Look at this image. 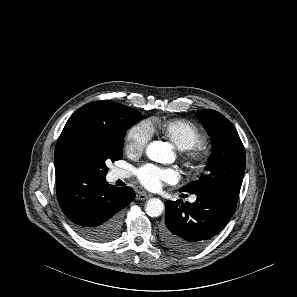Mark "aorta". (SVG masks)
<instances>
[{
    "instance_id": "obj_1",
    "label": "aorta",
    "mask_w": 297,
    "mask_h": 297,
    "mask_svg": "<svg viewBox=\"0 0 297 297\" xmlns=\"http://www.w3.org/2000/svg\"><path fill=\"white\" fill-rule=\"evenodd\" d=\"M146 154L149 159L159 163L168 162L172 155L170 146L160 141L151 142L146 148ZM163 210L164 204L158 198H152L146 203L145 211L150 217L160 216Z\"/></svg>"
}]
</instances>
